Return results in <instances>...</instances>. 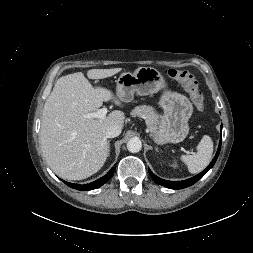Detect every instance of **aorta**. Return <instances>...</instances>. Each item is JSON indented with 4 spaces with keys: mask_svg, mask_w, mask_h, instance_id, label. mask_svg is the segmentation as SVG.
Returning <instances> with one entry per match:
<instances>
[{
    "mask_svg": "<svg viewBox=\"0 0 253 253\" xmlns=\"http://www.w3.org/2000/svg\"><path fill=\"white\" fill-rule=\"evenodd\" d=\"M127 149L131 153H137L142 149V143L139 138H131L127 142Z\"/></svg>",
    "mask_w": 253,
    "mask_h": 253,
    "instance_id": "762f6f07",
    "label": "aorta"
}]
</instances>
